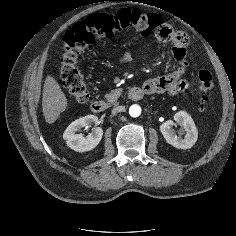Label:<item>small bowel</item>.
<instances>
[{"instance_id": "1", "label": "small bowel", "mask_w": 236, "mask_h": 236, "mask_svg": "<svg viewBox=\"0 0 236 236\" xmlns=\"http://www.w3.org/2000/svg\"><path fill=\"white\" fill-rule=\"evenodd\" d=\"M181 35L182 40L173 43V56L175 62L177 63L176 70L171 74L161 76L146 82L143 85L146 94H176L186 89V82L182 79V75L188 66L187 60L185 58L187 50V37L183 33H181ZM131 59V53L129 51H126L118 61L120 64H126L130 62Z\"/></svg>"}]
</instances>
